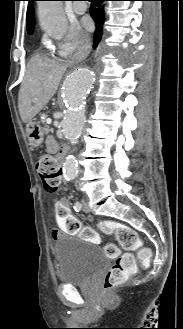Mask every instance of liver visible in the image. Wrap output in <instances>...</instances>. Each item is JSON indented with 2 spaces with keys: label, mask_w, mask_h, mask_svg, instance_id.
<instances>
[{
  "label": "liver",
  "mask_w": 183,
  "mask_h": 329,
  "mask_svg": "<svg viewBox=\"0 0 183 329\" xmlns=\"http://www.w3.org/2000/svg\"><path fill=\"white\" fill-rule=\"evenodd\" d=\"M66 69V64L40 55L30 59L18 98L24 123L31 121L53 97Z\"/></svg>",
  "instance_id": "1"
}]
</instances>
